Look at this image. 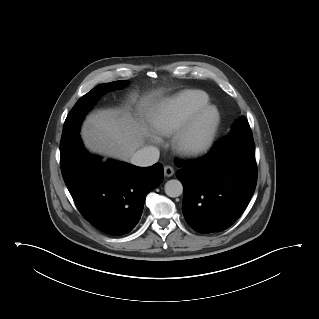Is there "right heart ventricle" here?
<instances>
[{
	"instance_id": "e07e8e85",
	"label": "right heart ventricle",
	"mask_w": 319,
	"mask_h": 319,
	"mask_svg": "<svg viewBox=\"0 0 319 319\" xmlns=\"http://www.w3.org/2000/svg\"><path fill=\"white\" fill-rule=\"evenodd\" d=\"M209 101V96L201 90H183L155 106L151 114V125L161 135H175L194 112Z\"/></svg>"
}]
</instances>
